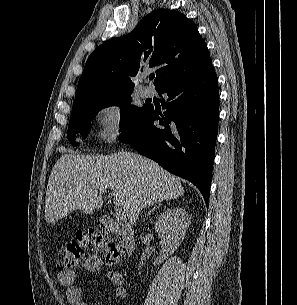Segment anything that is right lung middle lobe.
<instances>
[{"mask_svg": "<svg viewBox=\"0 0 297 305\" xmlns=\"http://www.w3.org/2000/svg\"><path fill=\"white\" fill-rule=\"evenodd\" d=\"M133 90L122 91L109 96L90 98L73 104L68 126V140L76 145L74 135L81 133L85 137L90 132L88 124L93 120L100 109L111 105L121 107L120 131L123 132L143 118L150 105L137 107L131 104Z\"/></svg>", "mask_w": 297, "mask_h": 305, "instance_id": "1", "label": "right lung middle lobe"}]
</instances>
